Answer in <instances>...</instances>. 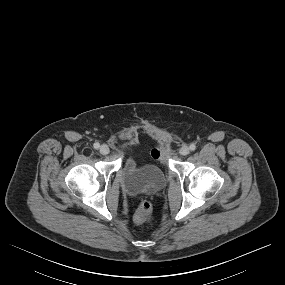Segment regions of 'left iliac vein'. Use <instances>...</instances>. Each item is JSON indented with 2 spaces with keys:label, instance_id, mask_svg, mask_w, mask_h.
Instances as JSON below:
<instances>
[{
  "label": "left iliac vein",
  "instance_id": "4c4485c4",
  "mask_svg": "<svg viewBox=\"0 0 285 285\" xmlns=\"http://www.w3.org/2000/svg\"><path fill=\"white\" fill-rule=\"evenodd\" d=\"M180 155L187 156L190 153V149L188 146H183L179 150Z\"/></svg>",
  "mask_w": 285,
  "mask_h": 285
}]
</instances>
